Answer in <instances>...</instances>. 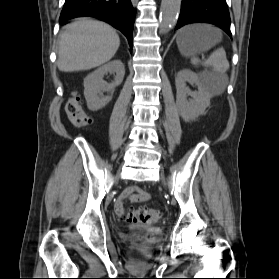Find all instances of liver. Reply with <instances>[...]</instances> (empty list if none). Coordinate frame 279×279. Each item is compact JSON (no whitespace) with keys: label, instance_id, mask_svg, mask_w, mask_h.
Here are the masks:
<instances>
[{"label":"liver","instance_id":"obj_1","mask_svg":"<svg viewBox=\"0 0 279 279\" xmlns=\"http://www.w3.org/2000/svg\"><path fill=\"white\" fill-rule=\"evenodd\" d=\"M120 39L108 24L80 18L60 34L57 66L60 71L89 70L108 62L117 52Z\"/></svg>","mask_w":279,"mask_h":279}]
</instances>
